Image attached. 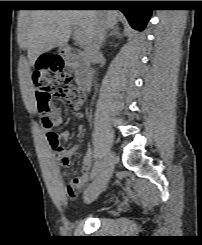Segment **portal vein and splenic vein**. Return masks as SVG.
Segmentation results:
<instances>
[{"label": "portal vein and splenic vein", "instance_id": "portal-vein-and-splenic-vein-1", "mask_svg": "<svg viewBox=\"0 0 202 245\" xmlns=\"http://www.w3.org/2000/svg\"><path fill=\"white\" fill-rule=\"evenodd\" d=\"M75 39L78 44L84 43V32L77 26L74 27Z\"/></svg>", "mask_w": 202, "mask_h": 245}]
</instances>
